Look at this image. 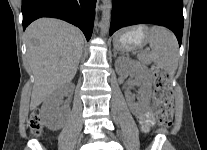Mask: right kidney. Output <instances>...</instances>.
Returning a JSON list of instances; mask_svg holds the SVG:
<instances>
[{
  "mask_svg": "<svg viewBox=\"0 0 207 150\" xmlns=\"http://www.w3.org/2000/svg\"><path fill=\"white\" fill-rule=\"evenodd\" d=\"M71 92V85L61 86L43 102L41 117L44 125L48 129L57 131L63 127L67 108H60L59 102L64 96H68Z\"/></svg>",
  "mask_w": 207,
  "mask_h": 150,
  "instance_id": "1",
  "label": "right kidney"
}]
</instances>
